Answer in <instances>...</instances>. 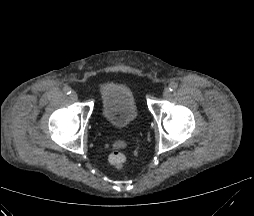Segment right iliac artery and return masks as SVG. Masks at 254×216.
Instances as JSON below:
<instances>
[{
    "mask_svg": "<svg viewBox=\"0 0 254 216\" xmlns=\"http://www.w3.org/2000/svg\"><path fill=\"white\" fill-rule=\"evenodd\" d=\"M64 92L68 95V94H71L72 90L70 87L67 86L64 88Z\"/></svg>",
    "mask_w": 254,
    "mask_h": 216,
    "instance_id": "82829eb1",
    "label": "right iliac artery"
}]
</instances>
